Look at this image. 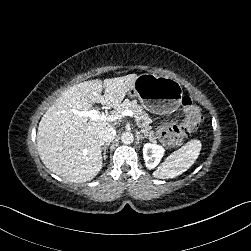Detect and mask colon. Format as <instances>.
Listing matches in <instances>:
<instances>
[{"label": "colon", "mask_w": 251, "mask_h": 251, "mask_svg": "<svg viewBox=\"0 0 251 251\" xmlns=\"http://www.w3.org/2000/svg\"><path fill=\"white\" fill-rule=\"evenodd\" d=\"M183 118L161 124L157 129L159 140L168 147H179L198 128L202 121L200 108L189 96L182 99Z\"/></svg>", "instance_id": "1"}]
</instances>
